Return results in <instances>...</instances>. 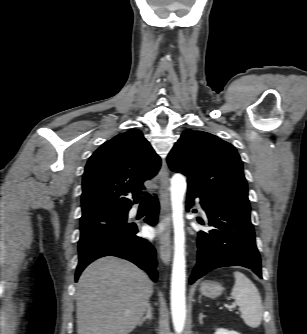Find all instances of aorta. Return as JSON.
<instances>
[{
	"instance_id": "obj_1",
	"label": "aorta",
	"mask_w": 307,
	"mask_h": 334,
	"mask_svg": "<svg viewBox=\"0 0 307 334\" xmlns=\"http://www.w3.org/2000/svg\"><path fill=\"white\" fill-rule=\"evenodd\" d=\"M186 180L181 174L171 179V205L174 226V258L171 276V315L174 330L180 334L186 320V260L185 233L183 219V201L186 192Z\"/></svg>"
}]
</instances>
